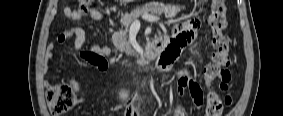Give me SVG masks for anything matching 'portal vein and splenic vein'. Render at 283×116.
<instances>
[{
  "instance_id": "portal-vein-and-splenic-vein-1",
  "label": "portal vein and splenic vein",
  "mask_w": 283,
  "mask_h": 116,
  "mask_svg": "<svg viewBox=\"0 0 283 116\" xmlns=\"http://www.w3.org/2000/svg\"><path fill=\"white\" fill-rule=\"evenodd\" d=\"M141 17L146 20V21H149V22H157L160 20L159 17L157 16H154V15H149V14H142Z\"/></svg>"
}]
</instances>
